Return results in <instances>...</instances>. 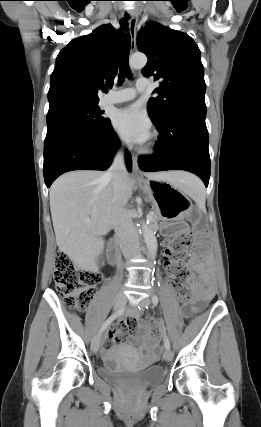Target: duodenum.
<instances>
[{
	"instance_id": "obj_1",
	"label": "duodenum",
	"mask_w": 261,
	"mask_h": 427,
	"mask_svg": "<svg viewBox=\"0 0 261 427\" xmlns=\"http://www.w3.org/2000/svg\"><path fill=\"white\" fill-rule=\"evenodd\" d=\"M119 252H118V241L113 240L112 249L110 252V263L115 265L118 262Z\"/></svg>"
}]
</instances>
